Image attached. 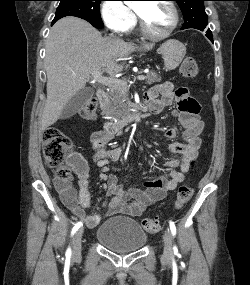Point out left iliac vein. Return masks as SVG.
Listing matches in <instances>:
<instances>
[{
  "mask_svg": "<svg viewBox=\"0 0 250 285\" xmlns=\"http://www.w3.org/2000/svg\"><path fill=\"white\" fill-rule=\"evenodd\" d=\"M164 251H163V258L170 259L172 255V235L169 229L165 230L164 232Z\"/></svg>",
  "mask_w": 250,
  "mask_h": 285,
  "instance_id": "left-iliac-vein-1",
  "label": "left iliac vein"
}]
</instances>
